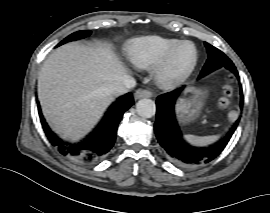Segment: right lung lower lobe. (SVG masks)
<instances>
[{"instance_id": "right-lung-lower-lobe-1", "label": "right lung lower lobe", "mask_w": 270, "mask_h": 213, "mask_svg": "<svg viewBox=\"0 0 270 213\" xmlns=\"http://www.w3.org/2000/svg\"><path fill=\"white\" fill-rule=\"evenodd\" d=\"M134 104L131 93L119 98L106 112L104 118L95 128V130L82 142L71 144L63 142L48 127L45 122L40 105L38 111L42 127L46 136L58 151L69 158L81 163H95L106 156L113 147L116 140V131L120 120L126 110Z\"/></svg>"}]
</instances>
